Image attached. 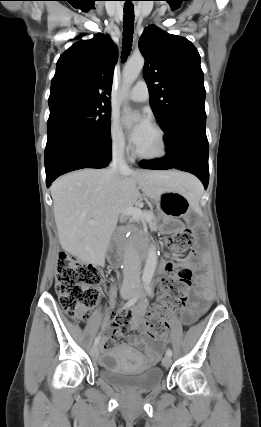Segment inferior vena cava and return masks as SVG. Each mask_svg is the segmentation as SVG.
Listing matches in <instances>:
<instances>
[{
  "mask_svg": "<svg viewBox=\"0 0 261 427\" xmlns=\"http://www.w3.org/2000/svg\"><path fill=\"white\" fill-rule=\"evenodd\" d=\"M110 167L112 172L118 173H126L130 170L124 159V143L113 146ZM140 269L141 262L138 253L132 243H127L124 249L123 283L125 285H139Z\"/></svg>",
  "mask_w": 261,
  "mask_h": 427,
  "instance_id": "1",
  "label": "inferior vena cava"
}]
</instances>
